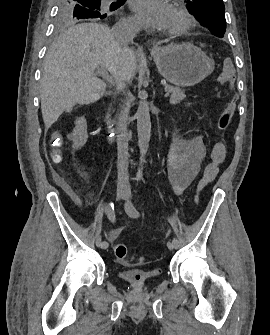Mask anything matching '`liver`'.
Returning a JSON list of instances; mask_svg holds the SVG:
<instances>
[{
	"mask_svg": "<svg viewBox=\"0 0 270 335\" xmlns=\"http://www.w3.org/2000/svg\"><path fill=\"white\" fill-rule=\"evenodd\" d=\"M136 64L133 48L119 46L108 26L92 22L65 30L44 58L40 96L45 126H52L75 104L93 102L104 94L107 84L96 78L98 66L130 82Z\"/></svg>",
	"mask_w": 270,
	"mask_h": 335,
	"instance_id": "obj_1",
	"label": "liver"
}]
</instances>
